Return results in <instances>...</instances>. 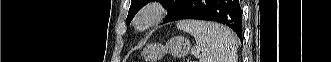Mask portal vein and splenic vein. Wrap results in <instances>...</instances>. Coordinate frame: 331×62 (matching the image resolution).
I'll use <instances>...</instances> for the list:
<instances>
[{
  "label": "portal vein and splenic vein",
  "instance_id": "obj_1",
  "mask_svg": "<svg viewBox=\"0 0 331 62\" xmlns=\"http://www.w3.org/2000/svg\"><path fill=\"white\" fill-rule=\"evenodd\" d=\"M200 52V49H197V51L195 53H199Z\"/></svg>",
  "mask_w": 331,
  "mask_h": 62
}]
</instances>
